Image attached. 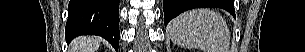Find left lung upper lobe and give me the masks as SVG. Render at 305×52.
Instances as JSON below:
<instances>
[{"label":"left lung upper lobe","mask_w":305,"mask_h":52,"mask_svg":"<svg viewBox=\"0 0 305 52\" xmlns=\"http://www.w3.org/2000/svg\"><path fill=\"white\" fill-rule=\"evenodd\" d=\"M205 2H209V4L213 7L226 8L231 6L230 0H204Z\"/></svg>","instance_id":"1"}]
</instances>
